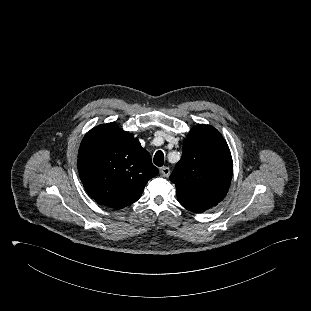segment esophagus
<instances>
[{
	"label": "esophagus",
	"mask_w": 311,
	"mask_h": 311,
	"mask_svg": "<svg viewBox=\"0 0 311 311\" xmlns=\"http://www.w3.org/2000/svg\"><path fill=\"white\" fill-rule=\"evenodd\" d=\"M160 172L163 176L168 177L170 175V168L169 167H161Z\"/></svg>",
	"instance_id": "esophagus-1"
}]
</instances>
